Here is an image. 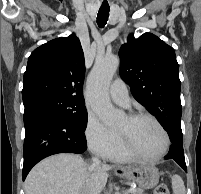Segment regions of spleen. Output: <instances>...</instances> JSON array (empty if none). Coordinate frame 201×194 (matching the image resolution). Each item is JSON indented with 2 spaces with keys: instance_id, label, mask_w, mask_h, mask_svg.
<instances>
[{
  "instance_id": "obj_1",
  "label": "spleen",
  "mask_w": 201,
  "mask_h": 194,
  "mask_svg": "<svg viewBox=\"0 0 201 194\" xmlns=\"http://www.w3.org/2000/svg\"><path fill=\"white\" fill-rule=\"evenodd\" d=\"M172 189L174 194H186L184 182L179 175L172 177Z\"/></svg>"
}]
</instances>
